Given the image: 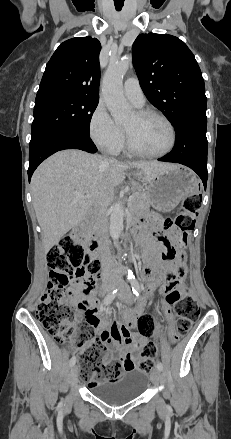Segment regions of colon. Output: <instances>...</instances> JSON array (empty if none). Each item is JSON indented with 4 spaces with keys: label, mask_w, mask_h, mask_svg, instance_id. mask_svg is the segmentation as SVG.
<instances>
[{
    "label": "colon",
    "mask_w": 231,
    "mask_h": 439,
    "mask_svg": "<svg viewBox=\"0 0 231 439\" xmlns=\"http://www.w3.org/2000/svg\"><path fill=\"white\" fill-rule=\"evenodd\" d=\"M202 197L198 193L187 196L182 204V210L174 220L154 216L163 231L173 226L179 228L180 233L175 237L181 243H185L188 233L194 229L195 217L201 206ZM158 239L167 241L163 234H158ZM171 258L174 255L171 254ZM47 263L50 269L48 290L42 295L37 305V318L44 329L57 344H62L65 338L74 331V316L71 305V297L78 290L92 291L95 280L100 273V262L81 245L77 244L71 236H65L55 244L48 252ZM178 274H168L167 281H175L181 278ZM165 301L169 306L166 311V319L170 337L177 340L185 335L197 320L199 306L189 287L182 290L171 289L167 291ZM80 309L84 306L81 304ZM154 318L151 315L140 317L137 329L144 337H150L153 333ZM75 344L77 348L85 346L84 352L79 354L78 362L81 366L80 377L91 386L97 385L100 379L117 381L121 379L125 364L119 361H108L107 350L97 338H94L91 330L80 333ZM146 357L139 362V368L150 372L153 368V358L157 355V348L153 342H148L143 347ZM128 369H133L134 364L127 362Z\"/></svg>",
    "instance_id": "colon-1"
}]
</instances>
